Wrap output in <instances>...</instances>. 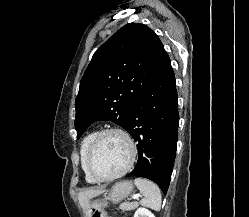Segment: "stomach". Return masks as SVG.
Listing matches in <instances>:
<instances>
[{
	"mask_svg": "<svg viewBox=\"0 0 249 217\" xmlns=\"http://www.w3.org/2000/svg\"><path fill=\"white\" fill-rule=\"evenodd\" d=\"M132 191H133V184L131 181L128 180L119 181L112 187L106 199L95 202L93 206L97 208L96 210L97 213H101L102 209L108 205V201L117 204L121 202L123 199L127 198L132 193Z\"/></svg>",
	"mask_w": 249,
	"mask_h": 217,
	"instance_id": "stomach-1",
	"label": "stomach"
}]
</instances>
